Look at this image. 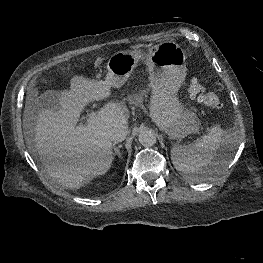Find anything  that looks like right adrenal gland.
Instances as JSON below:
<instances>
[{"label": "right adrenal gland", "mask_w": 263, "mask_h": 263, "mask_svg": "<svg viewBox=\"0 0 263 263\" xmlns=\"http://www.w3.org/2000/svg\"><path fill=\"white\" fill-rule=\"evenodd\" d=\"M122 147V145H118L116 146L115 144H113V150H114V153H113V159L118 156L119 158H121V153H120V148Z\"/></svg>", "instance_id": "2a0ac1e0"}]
</instances>
